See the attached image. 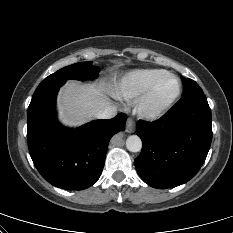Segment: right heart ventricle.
Segmentation results:
<instances>
[{"label":"right heart ventricle","instance_id":"obj_1","mask_svg":"<svg viewBox=\"0 0 233 233\" xmlns=\"http://www.w3.org/2000/svg\"><path fill=\"white\" fill-rule=\"evenodd\" d=\"M162 69H136L126 73L112 86V94L123 100L139 97L161 74Z\"/></svg>","mask_w":233,"mask_h":233}]
</instances>
